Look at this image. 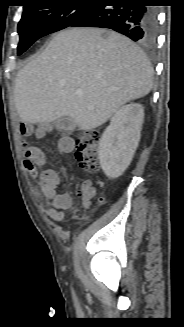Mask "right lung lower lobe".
Instances as JSON below:
<instances>
[{
  "instance_id": "right-lung-lower-lobe-1",
  "label": "right lung lower lobe",
  "mask_w": 184,
  "mask_h": 327,
  "mask_svg": "<svg viewBox=\"0 0 184 327\" xmlns=\"http://www.w3.org/2000/svg\"><path fill=\"white\" fill-rule=\"evenodd\" d=\"M143 0H123L106 6L100 0L73 27H101L115 30L134 41L151 45L157 34V13L154 8L141 5Z\"/></svg>"
}]
</instances>
